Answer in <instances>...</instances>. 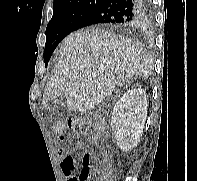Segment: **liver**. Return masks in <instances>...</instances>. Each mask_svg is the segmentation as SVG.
Returning <instances> with one entry per match:
<instances>
[{
    "mask_svg": "<svg viewBox=\"0 0 197 181\" xmlns=\"http://www.w3.org/2000/svg\"><path fill=\"white\" fill-rule=\"evenodd\" d=\"M153 60L134 40L99 28L67 36L60 58L46 84L43 105L66 98L71 111L90 112L133 77H148Z\"/></svg>",
    "mask_w": 197,
    "mask_h": 181,
    "instance_id": "1",
    "label": "liver"
}]
</instances>
